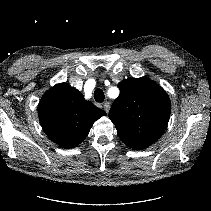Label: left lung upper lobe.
<instances>
[{"mask_svg":"<svg viewBox=\"0 0 211 211\" xmlns=\"http://www.w3.org/2000/svg\"><path fill=\"white\" fill-rule=\"evenodd\" d=\"M120 95L109 118L121 140L129 147L145 149L164 133L170 116L167 93L152 80L128 78L118 84Z\"/></svg>","mask_w":211,"mask_h":211,"instance_id":"1","label":"left lung upper lobe"}]
</instances>
